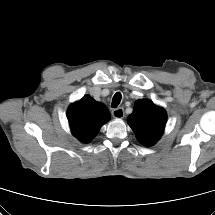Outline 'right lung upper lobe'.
<instances>
[{"label": "right lung upper lobe", "instance_id": "obj_1", "mask_svg": "<svg viewBox=\"0 0 215 215\" xmlns=\"http://www.w3.org/2000/svg\"><path fill=\"white\" fill-rule=\"evenodd\" d=\"M110 119L105 105L90 96H84L68 109L71 131L81 142H89L96 136L101 126Z\"/></svg>", "mask_w": 215, "mask_h": 215}]
</instances>
